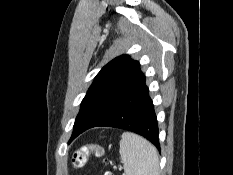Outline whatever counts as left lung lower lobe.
Segmentation results:
<instances>
[{"mask_svg": "<svg viewBox=\"0 0 233 175\" xmlns=\"http://www.w3.org/2000/svg\"><path fill=\"white\" fill-rule=\"evenodd\" d=\"M96 126L115 127L138 133L160 150L157 119L144 75L87 129Z\"/></svg>", "mask_w": 233, "mask_h": 175, "instance_id": "obj_1", "label": "left lung lower lobe"}]
</instances>
